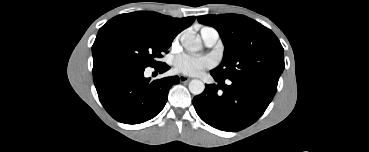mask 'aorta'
<instances>
[{"instance_id":"obj_1","label":"aorta","mask_w":369,"mask_h":152,"mask_svg":"<svg viewBox=\"0 0 369 152\" xmlns=\"http://www.w3.org/2000/svg\"><path fill=\"white\" fill-rule=\"evenodd\" d=\"M183 47L189 52H197L202 49L201 40L192 34H184L180 39ZM205 89L201 80L193 79L189 82V90L193 95H200Z\"/></svg>"}]
</instances>
